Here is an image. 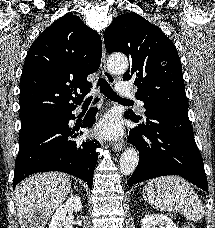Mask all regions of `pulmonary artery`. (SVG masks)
<instances>
[{"label": "pulmonary artery", "instance_id": "e3ab8cb5", "mask_svg": "<svg viewBox=\"0 0 215 228\" xmlns=\"http://www.w3.org/2000/svg\"><path fill=\"white\" fill-rule=\"evenodd\" d=\"M116 93L118 96H134L135 84H123L122 82H117L114 85ZM131 102H139L140 110L144 111V102L140 101V97H131Z\"/></svg>", "mask_w": 215, "mask_h": 228}]
</instances>
